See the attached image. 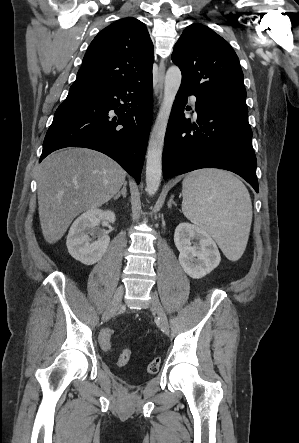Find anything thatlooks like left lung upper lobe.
<instances>
[{"mask_svg": "<svg viewBox=\"0 0 299 443\" xmlns=\"http://www.w3.org/2000/svg\"><path fill=\"white\" fill-rule=\"evenodd\" d=\"M172 61L182 83L204 100L248 113L239 59L221 36L202 24L189 25L174 46Z\"/></svg>", "mask_w": 299, "mask_h": 443, "instance_id": "left-lung-upper-lobe-1", "label": "left lung upper lobe"}]
</instances>
